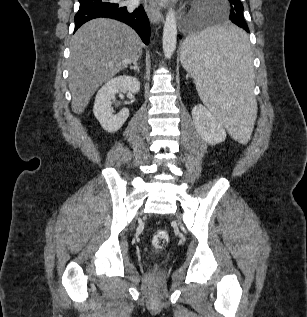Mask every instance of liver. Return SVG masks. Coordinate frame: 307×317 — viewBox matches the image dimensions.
<instances>
[{"mask_svg":"<svg viewBox=\"0 0 307 317\" xmlns=\"http://www.w3.org/2000/svg\"><path fill=\"white\" fill-rule=\"evenodd\" d=\"M142 41L129 26L112 19H93L73 35L68 61L72 111L81 114L105 82L138 59Z\"/></svg>","mask_w":307,"mask_h":317,"instance_id":"6515ba94","label":"liver"}]
</instances>
